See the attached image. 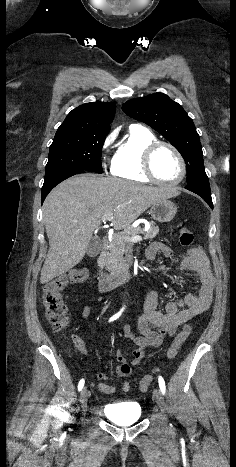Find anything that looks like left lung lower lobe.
I'll use <instances>...</instances> for the list:
<instances>
[{
    "mask_svg": "<svg viewBox=\"0 0 236 467\" xmlns=\"http://www.w3.org/2000/svg\"><path fill=\"white\" fill-rule=\"evenodd\" d=\"M185 188L201 196L213 208L209 181L189 184Z\"/></svg>",
    "mask_w": 236,
    "mask_h": 467,
    "instance_id": "1",
    "label": "left lung lower lobe"
}]
</instances>
